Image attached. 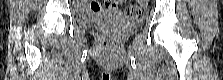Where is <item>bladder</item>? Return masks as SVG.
Returning a JSON list of instances; mask_svg holds the SVG:
<instances>
[{
    "label": "bladder",
    "instance_id": "1",
    "mask_svg": "<svg viewBox=\"0 0 223 80\" xmlns=\"http://www.w3.org/2000/svg\"><path fill=\"white\" fill-rule=\"evenodd\" d=\"M117 20L120 23L124 22V18L121 14L115 11L98 12L95 14L83 15L79 18L81 25L85 27H94L100 25L101 22L107 20ZM131 28H135V25H130Z\"/></svg>",
    "mask_w": 223,
    "mask_h": 80
}]
</instances>
